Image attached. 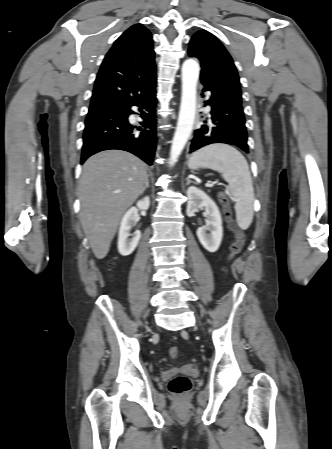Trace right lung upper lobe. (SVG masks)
Returning a JSON list of instances; mask_svg holds the SVG:
<instances>
[{
  "instance_id": "right-lung-upper-lobe-1",
  "label": "right lung upper lobe",
  "mask_w": 332,
  "mask_h": 449,
  "mask_svg": "<svg viewBox=\"0 0 332 449\" xmlns=\"http://www.w3.org/2000/svg\"><path fill=\"white\" fill-rule=\"evenodd\" d=\"M154 54L152 35L142 24L126 30L102 62L89 113L150 94L157 82Z\"/></svg>"
}]
</instances>
